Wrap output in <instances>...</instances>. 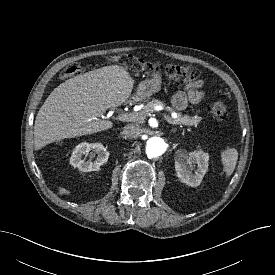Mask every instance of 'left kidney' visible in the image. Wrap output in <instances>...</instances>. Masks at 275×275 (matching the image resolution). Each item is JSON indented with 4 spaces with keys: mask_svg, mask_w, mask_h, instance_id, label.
Masks as SVG:
<instances>
[{
    "mask_svg": "<svg viewBox=\"0 0 275 275\" xmlns=\"http://www.w3.org/2000/svg\"><path fill=\"white\" fill-rule=\"evenodd\" d=\"M209 155L201 150L187 152L178 150L175 155V170L180 180L192 187L199 186L208 169ZM196 167V169H195ZM194 173H192V170Z\"/></svg>",
    "mask_w": 275,
    "mask_h": 275,
    "instance_id": "1",
    "label": "left kidney"
}]
</instances>
